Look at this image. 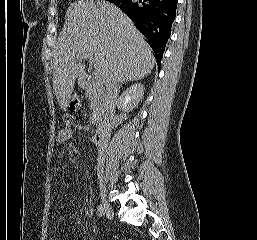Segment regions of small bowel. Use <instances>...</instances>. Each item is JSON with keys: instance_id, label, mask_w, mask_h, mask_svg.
I'll use <instances>...</instances> for the list:
<instances>
[{"instance_id": "obj_1", "label": "small bowel", "mask_w": 257, "mask_h": 240, "mask_svg": "<svg viewBox=\"0 0 257 240\" xmlns=\"http://www.w3.org/2000/svg\"><path fill=\"white\" fill-rule=\"evenodd\" d=\"M72 137V130L70 127H64L61 130H59L57 134V143L63 144L67 142Z\"/></svg>"}]
</instances>
